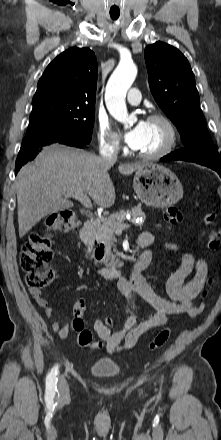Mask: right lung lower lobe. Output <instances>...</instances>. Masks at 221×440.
<instances>
[{
	"label": "right lung lower lobe",
	"mask_w": 221,
	"mask_h": 440,
	"mask_svg": "<svg viewBox=\"0 0 221 440\" xmlns=\"http://www.w3.org/2000/svg\"><path fill=\"white\" fill-rule=\"evenodd\" d=\"M52 143H61L79 148H83L85 145L88 144V142L80 139L54 133H39L31 136H26L23 139L19 154L16 159L15 175L24 164L33 160L36 157V155L39 153V148Z\"/></svg>",
	"instance_id": "obj_1"
}]
</instances>
